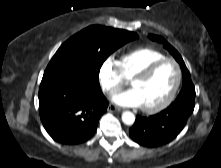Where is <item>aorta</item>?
<instances>
[{"label": "aorta", "instance_id": "obj_1", "mask_svg": "<svg viewBox=\"0 0 221 168\" xmlns=\"http://www.w3.org/2000/svg\"><path fill=\"white\" fill-rule=\"evenodd\" d=\"M122 121L126 125H132L135 121V115L130 111H125L122 114Z\"/></svg>", "mask_w": 221, "mask_h": 168}]
</instances>
